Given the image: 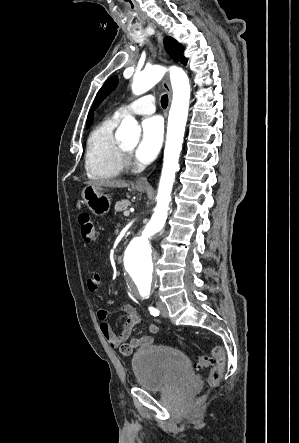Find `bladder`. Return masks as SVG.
<instances>
[{"label":"bladder","mask_w":299,"mask_h":443,"mask_svg":"<svg viewBox=\"0 0 299 443\" xmlns=\"http://www.w3.org/2000/svg\"><path fill=\"white\" fill-rule=\"evenodd\" d=\"M135 382L147 390L165 389L194 378L187 357L180 351L162 345L138 350L131 359Z\"/></svg>","instance_id":"31cf9c89"}]
</instances>
